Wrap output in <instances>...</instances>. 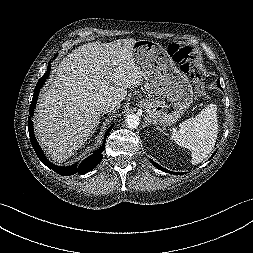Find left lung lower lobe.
I'll return each mask as SVG.
<instances>
[{"label": "left lung lower lobe", "mask_w": 253, "mask_h": 253, "mask_svg": "<svg viewBox=\"0 0 253 253\" xmlns=\"http://www.w3.org/2000/svg\"><path fill=\"white\" fill-rule=\"evenodd\" d=\"M217 86H218L219 88H221V86H220V81H219V80L217 81ZM151 162H152V164H153L156 168H158L159 170H161V171H163V172L171 173V174H175V175L184 174V173H176V172L169 171V170H167V169L161 167V166H160L159 164H157L156 162H154V161H152V160H151Z\"/></svg>", "instance_id": "left-lung-lower-lobe-1"}]
</instances>
